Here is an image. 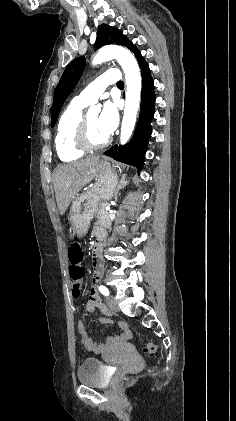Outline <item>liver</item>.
<instances>
[{"label":"liver","mask_w":236,"mask_h":421,"mask_svg":"<svg viewBox=\"0 0 236 421\" xmlns=\"http://www.w3.org/2000/svg\"><path fill=\"white\" fill-rule=\"evenodd\" d=\"M99 164V156H88L71 164L57 166L53 174L55 196L60 215L65 211L75 194L95 178Z\"/></svg>","instance_id":"obj_1"}]
</instances>
